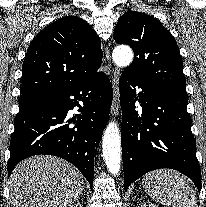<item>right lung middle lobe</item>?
<instances>
[{
	"instance_id": "obj_1",
	"label": "right lung middle lobe",
	"mask_w": 206,
	"mask_h": 207,
	"mask_svg": "<svg viewBox=\"0 0 206 207\" xmlns=\"http://www.w3.org/2000/svg\"><path fill=\"white\" fill-rule=\"evenodd\" d=\"M42 97L43 96L41 94L20 97L19 112L27 110L32 106L38 104L42 100Z\"/></svg>"
}]
</instances>
